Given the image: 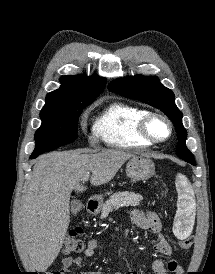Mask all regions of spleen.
Returning <instances> with one entry per match:
<instances>
[{
	"label": "spleen",
	"instance_id": "1",
	"mask_svg": "<svg viewBox=\"0 0 215 274\" xmlns=\"http://www.w3.org/2000/svg\"><path fill=\"white\" fill-rule=\"evenodd\" d=\"M176 190L178 192L177 212L174 223V234L184 239L188 237L190 233L189 225L195 215V199L193 188L183 174H178L176 177Z\"/></svg>",
	"mask_w": 215,
	"mask_h": 274
}]
</instances>
